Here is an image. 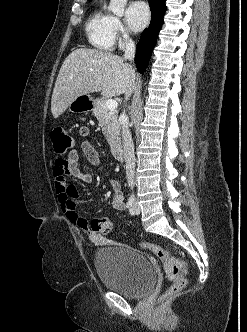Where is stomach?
I'll return each mask as SVG.
<instances>
[{
    "label": "stomach",
    "instance_id": "1",
    "mask_svg": "<svg viewBox=\"0 0 247 332\" xmlns=\"http://www.w3.org/2000/svg\"><path fill=\"white\" fill-rule=\"evenodd\" d=\"M94 101L89 95L78 96L70 105L69 110L72 112L87 111L92 108Z\"/></svg>",
    "mask_w": 247,
    "mask_h": 332
}]
</instances>
